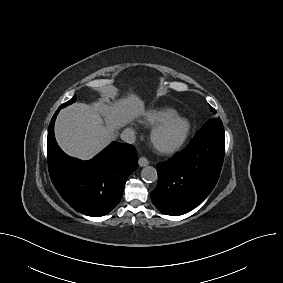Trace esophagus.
Here are the masks:
<instances>
[{"instance_id":"obj_1","label":"esophagus","mask_w":283,"mask_h":283,"mask_svg":"<svg viewBox=\"0 0 283 283\" xmlns=\"http://www.w3.org/2000/svg\"><path fill=\"white\" fill-rule=\"evenodd\" d=\"M138 163H139V166L144 167L149 164V161L147 160V158L142 156L139 158Z\"/></svg>"}]
</instances>
